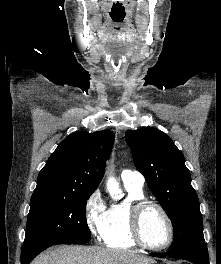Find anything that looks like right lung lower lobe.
I'll use <instances>...</instances> for the list:
<instances>
[{
	"instance_id": "1",
	"label": "right lung lower lobe",
	"mask_w": 221,
	"mask_h": 264,
	"mask_svg": "<svg viewBox=\"0 0 221 264\" xmlns=\"http://www.w3.org/2000/svg\"><path fill=\"white\" fill-rule=\"evenodd\" d=\"M48 247L40 248L36 251H33L31 253H28L26 255H21V264H29L40 252L45 250Z\"/></svg>"
}]
</instances>
